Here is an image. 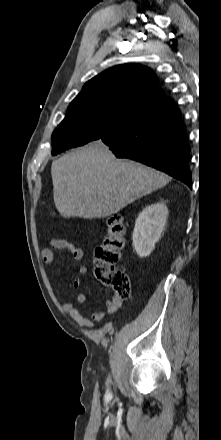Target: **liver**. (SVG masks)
I'll return each mask as SVG.
<instances>
[{"label": "liver", "instance_id": "liver-1", "mask_svg": "<svg viewBox=\"0 0 221 440\" xmlns=\"http://www.w3.org/2000/svg\"><path fill=\"white\" fill-rule=\"evenodd\" d=\"M54 203L64 218H103L163 186L170 177L130 160L116 159L94 141L52 162Z\"/></svg>", "mask_w": 221, "mask_h": 440}]
</instances>
